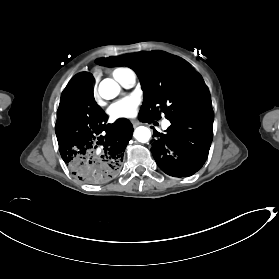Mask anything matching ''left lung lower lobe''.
<instances>
[{
  "label": "left lung lower lobe",
  "mask_w": 279,
  "mask_h": 279,
  "mask_svg": "<svg viewBox=\"0 0 279 279\" xmlns=\"http://www.w3.org/2000/svg\"><path fill=\"white\" fill-rule=\"evenodd\" d=\"M213 119V111L203 112L171 120L166 134L154 131L156 139L151 153L159 168L174 177H187L197 172L209 153Z\"/></svg>",
  "instance_id": "left-lung-lower-lobe-1"
}]
</instances>
